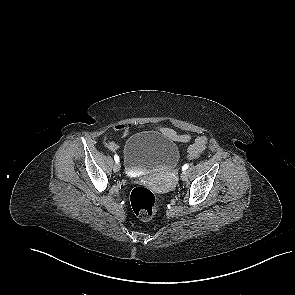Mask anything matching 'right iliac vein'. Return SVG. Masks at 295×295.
<instances>
[{
  "label": "right iliac vein",
  "mask_w": 295,
  "mask_h": 295,
  "mask_svg": "<svg viewBox=\"0 0 295 295\" xmlns=\"http://www.w3.org/2000/svg\"><path fill=\"white\" fill-rule=\"evenodd\" d=\"M113 171L115 173H118L120 171V164L119 163H115L113 166Z\"/></svg>",
  "instance_id": "right-iliac-vein-1"
}]
</instances>
